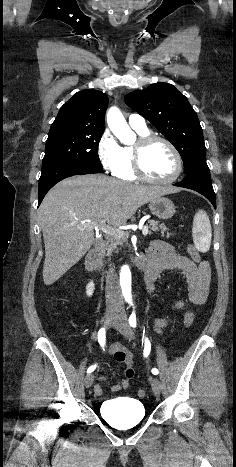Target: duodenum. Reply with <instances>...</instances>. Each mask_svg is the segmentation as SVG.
<instances>
[{"label": "duodenum", "instance_id": "obj_1", "mask_svg": "<svg viewBox=\"0 0 236 467\" xmlns=\"http://www.w3.org/2000/svg\"><path fill=\"white\" fill-rule=\"evenodd\" d=\"M105 247V241L96 243L88 252L86 257V267L88 271L98 276L103 275L102 255ZM136 266L138 270L144 275L145 281L152 280L154 278V273L151 271L150 266L146 262L141 260L137 263Z\"/></svg>", "mask_w": 236, "mask_h": 467}]
</instances>
